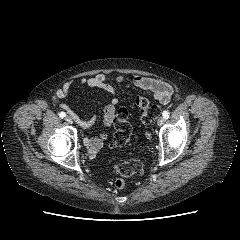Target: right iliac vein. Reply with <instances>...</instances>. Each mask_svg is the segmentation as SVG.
<instances>
[{"label":"right iliac vein","instance_id":"1","mask_svg":"<svg viewBox=\"0 0 240 240\" xmlns=\"http://www.w3.org/2000/svg\"><path fill=\"white\" fill-rule=\"evenodd\" d=\"M65 120H66L68 123H70V124L73 123V120H72V118H71L70 116H67V117L65 118Z\"/></svg>","mask_w":240,"mask_h":240}]
</instances>
